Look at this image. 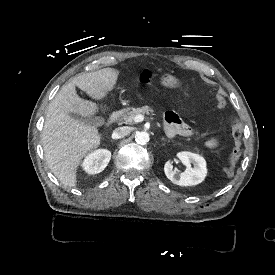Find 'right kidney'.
Here are the masks:
<instances>
[{"label":"right kidney","instance_id":"right-kidney-1","mask_svg":"<svg viewBox=\"0 0 275 275\" xmlns=\"http://www.w3.org/2000/svg\"><path fill=\"white\" fill-rule=\"evenodd\" d=\"M110 159L111 152L109 150L97 149L85 157L81 166L88 174H98L106 168Z\"/></svg>","mask_w":275,"mask_h":275}]
</instances>
